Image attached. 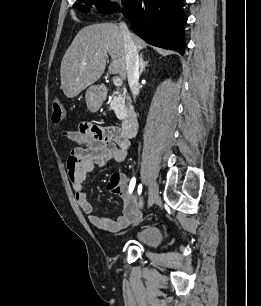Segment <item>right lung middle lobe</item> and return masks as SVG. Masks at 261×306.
Masks as SVG:
<instances>
[{
  "instance_id": "1",
  "label": "right lung middle lobe",
  "mask_w": 261,
  "mask_h": 306,
  "mask_svg": "<svg viewBox=\"0 0 261 306\" xmlns=\"http://www.w3.org/2000/svg\"><path fill=\"white\" fill-rule=\"evenodd\" d=\"M84 1L86 5L81 3L74 4L73 7L77 8L81 12H89L92 5H95L97 9L102 13H110L116 11L119 6L112 4L106 0H80ZM130 0H122V4L125 5Z\"/></svg>"
}]
</instances>
